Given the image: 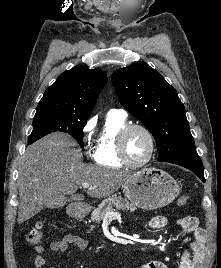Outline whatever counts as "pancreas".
Masks as SVG:
<instances>
[{
  "instance_id": "pancreas-1",
  "label": "pancreas",
  "mask_w": 221,
  "mask_h": 268,
  "mask_svg": "<svg viewBox=\"0 0 221 268\" xmlns=\"http://www.w3.org/2000/svg\"><path fill=\"white\" fill-rule=\"evenodd\" d=\"M114 207L116 209L130 210L131 212H134L137 209L135 205L129 203L127 199L113 195L102 201V203L94 209L91 214V220L100 223V221L104 219L105 214L112 211Z\"/></svg>"
}]
</instances>
